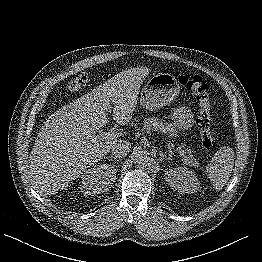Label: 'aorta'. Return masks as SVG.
<instances>
[{
  "label": "aorta",
  "mask_w": 262,
  "mask_h": 262,
  "mask_svg": "<svg viewBox=\"0 0 262 262\" xmlns=\"http://www.w3.org/2000/svg\"><path fill=\"white\" fill-rule=\"evenodd\" d=\"M137 161L141 167H146L150 163V158L145 153H138Z\"/></svg>",
  "instance_id": "762f6f07"
}]
</instances>
